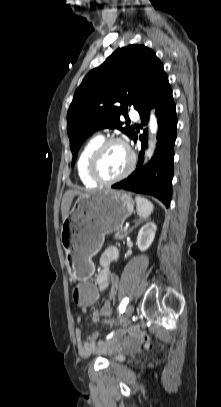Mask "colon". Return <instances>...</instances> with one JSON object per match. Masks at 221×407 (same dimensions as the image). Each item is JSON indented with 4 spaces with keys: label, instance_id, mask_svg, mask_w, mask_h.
<instances>
[{
    "label": "colon",
    "instance_id": "obj_1",
    "mask_svg": "<svg viewBox=\"0 0 221 407\" xmlns=\"http://www.w3.org/2000/svg\"><path fill=\"white\" fill-rule=\"evenodd\" d=\"M96 283H74V291H72V304L78 306L79 311H90L92 305H95L98 299V292L96 291ZM113 309L111 305H103L101 307L100 314L95 315V319H99L100 322L108 321L113 324ZM109 319V320H108ZM143 340L146 348H152V343L145 335H139Z\"/></svg>",
    "mask_w": 221,
    "mask_h": 407
}]
</instances>
